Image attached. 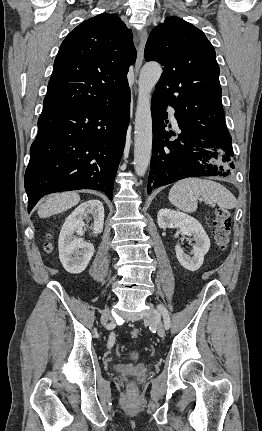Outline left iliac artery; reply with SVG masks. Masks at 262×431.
<instances>
[{"instance_id":"left-iliac-artery-1","label":"left iliac artery","mask_w":262,"mask_h":431,"mask_svg":"<svg viewBox=\"0 0 262 431\" xmlns=\"http://www.w3.org/2000/svg\"><path fill=\"white\" fill-rule=\"evenodd\" d=\"M158 309L163 316L165 328L169 329L171 326V321H170V316L167 309L163 305H158Z\"/></svg>"}]
</instances>
